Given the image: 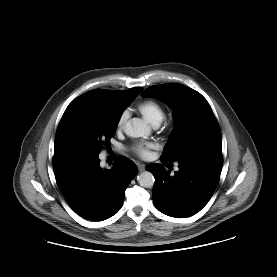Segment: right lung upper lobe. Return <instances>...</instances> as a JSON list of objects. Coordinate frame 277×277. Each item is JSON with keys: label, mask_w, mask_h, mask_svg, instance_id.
Segmentation results:
<instances>
[{"label": "right lung upper lobe", "mask_w": 277, "mask_h": 277, "mask_svg": "<svg viewBox=\"0 0 277 277\" xmlns=\"http://www.w3.org/2000/svg\"><path fill=\"white\" fill-rule=\"evenodd\" d=\"M141 90H142L141 87H137L127 91H110V90H97V91H99L104 97L115 99V98H123L131 94L137 95ZM66 151H69V150L65 148L63 145H61L58 141H55L54 153L66 152Z\"/></svg>", "instance_id": "obj_1"}]
</instances>
